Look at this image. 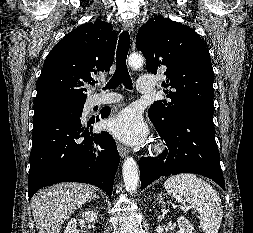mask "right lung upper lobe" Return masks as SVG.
Returning <instances> with one entry per match:
<instances>
[{"label":"right lung upper lobe","instance_id":"right-lung-upper-lobe-1","mask_svg":"<svg viewBox=\"0 0 253 233\" xmlns=\"http://www.w3.org/2000/svg\"><path fill=\"white\" fill-rule=\"evenodd\" d=\"M116 43L112 25L100 19L71 31L46 57L34 104L54 98L85 100L93 76L113 64Z\"/></svg>","mask_w":253,"mask_h":233}]
</instances>
